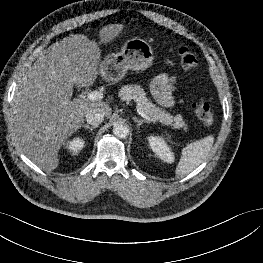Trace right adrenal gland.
Here are the masks:
<instances>
[{
    "instance_id": "right-adrenal-gland-1",
    "label": "right adrenal gland",
    "mask_w": 263,
    "mask_h": 263,
    "mask_svg": "<svg viewBox=\"0 0 263 263\" xmlns=\"http://www.w3.org/2000/svg\"><path fill=\"white\" fill-rule=\"evenodd\" d=\"M82 127L85 129H89L91 131H93L95 128H97V126H90V125H82Z\"/></svg>"
}]
</instances>
